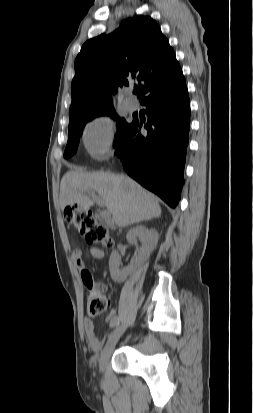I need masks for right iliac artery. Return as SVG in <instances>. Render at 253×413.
I'll list each match as a JSON object with an SVG mask.
<instances>
[{"label":"right iliac artery","mask_w":253,"mask_h":413,"mask_svg":"<svg viewBox=\"0 0 253 413\" xmlns=\"http://www.w3.org/2000/svg\"><path fill=\"white\" fill-rule=\"evenodd\" d=\"M119 325V318H117L115 320V322L113 323L112 327L118 326Z\"/></svg>","instance_id":"obj_1"}]
</instances>
